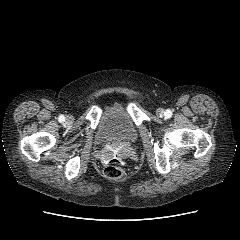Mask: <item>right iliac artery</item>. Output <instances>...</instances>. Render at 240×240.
Listing matches in <instances>:
<instances>
[{
	"instance_id": "82829eb1",
	"label": "right iliac artery",
	"mask_w": 240,
	"mask_h": 240,
	"mask_svg": "<svg viewBox=\"0 0 240 240\" xmlns=\"http://www.w3.org/2000/svg\"><path fill=\"white\" fill-rule=\"evenodd\" d=\"M58 120H59L60 122H63V121L65 120V117H64L63 115H60L59 118H58Z\"/></svg>"
}]
</instances>
